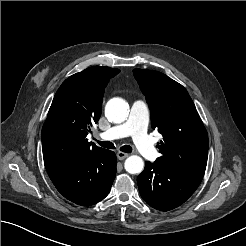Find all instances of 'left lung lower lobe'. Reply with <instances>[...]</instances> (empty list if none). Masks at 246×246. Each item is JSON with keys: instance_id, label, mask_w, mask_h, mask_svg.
I'll return each mask as SVG.
<instances>
[{"instance_id": "obj_1", "label": "left lung lower lobe", "mask_w": 246, "mask_h": 246, "mask_svg": "<svg viewBox=\"0 0 246 246\" xmlns=\"http://www.w3.org/2000/svg\"><path fill=\"white\" fill-rule=\"evenodd\" d=\"M204 172L188 166L146 161L145 169L137 177L139 192L151 207L169 211L195 192Z\"/></svg>"}]
</instances>
